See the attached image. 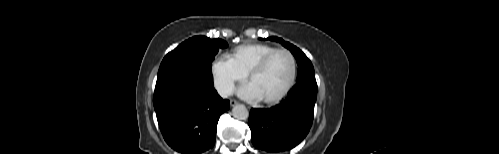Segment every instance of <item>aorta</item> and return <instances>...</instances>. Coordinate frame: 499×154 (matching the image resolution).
Wrapping results in <instances>:
<instances>
[{
	"mask_svg": "<svg viewBox=\"0 0 499 154\" xmlns=\"http://www.w3.org/2000/svg\"><path fill=\"white\" fill-rule=\"evenodd\" d=\"M232 115L237 120H246L249 117V111L244 105L238 104L232 109Z\"/></svg>",
	"mask_w": 499,
	"mask_h": 154,
	"instance_id": "aorta-1",
	"label": "aorta"
}]
</instances>
